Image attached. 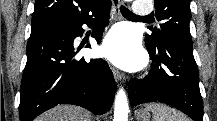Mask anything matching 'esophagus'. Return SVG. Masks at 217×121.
<instances>
[{"instance_id": "obj_1", "label": "esophagus", "mask_w": 217, "mask_h": 121, "mask_svg": "<svg viewBox=\"0 0 217 121\" xmlns=\"http://www.w3.org/2000/svg\"><path fill=\"white\" fill-rule=\"evenodd\" d=\"M122 2L120 0H112V9H113V14L117 18L120 16V6ZM112 73L114 78L117 81H124L125 76L123 73H121L119 70H117L115 67H111Z\"/></svg>"}]
</instances>
